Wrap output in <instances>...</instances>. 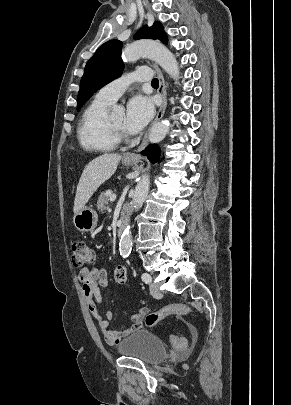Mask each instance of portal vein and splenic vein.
<instances>
[{
	"mask_svg": "<svg viewBox=\"0 0 291 405\" xmlns=\"http://www.w3.org/2000/svg\"><path fill=\"white\" fill-rule=\"evenodd\" d=\"M110 201H115L116 200V195L115 194H112V195H110Z\"/></svg>",
	"mask_w": 291,
	"mask_h": 405,
	"instance_id": "portal-vein-and-splenic-vein-1",
	"label": "portal vein and splenic vein"
}]
</instances>
